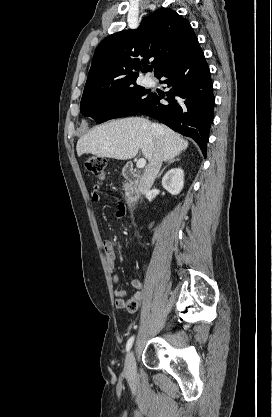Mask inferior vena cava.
Returning <instances> with one entry per match:
<instances>
[{
    "instance_id": "inferior-vena-cava-1",
    "label": "inferior vena cava",
    "mask_w": 272,
    "mask_h": 417,
    "mask_svg": "<svg viewBox=\"0 0 272 417\" xmlns=\"http://www.w3.org/2000/svg\"><path fill=\"white\" fill-rule=\"evenodd\" d=\"M152 129L156 134V147L154 149L153 157L140 180L139 191L142 194L147 193L152 187L163 162V140L161 137V128L158 124L153 123Z\"/></svg>"
}]
</instances>
